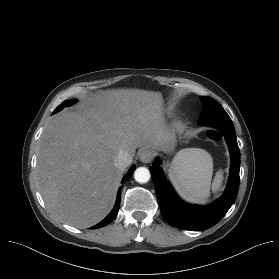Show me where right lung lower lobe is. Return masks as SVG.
<instances>
[{
  "mask_svg": "<svg viewBox=\"0 0 279 279\" xmlns=\"http://www.w3.org/2000/svg\"><path fill=\"white\" fill-rule=\"evenodd\" d=\"M134 170H135V167L133 166L128 171V173L124 176V178L122 179L121 183L126 182L131 177V175L133 174ZM120 189L118 190L116 203H115V206H114L113 210L111 211V213L105 219H103L100 223H98L97 225L93 226L92 229L101 228L103 226H106L107 224H109L117 216L118 210H119L120 198H121V191H120Z\"/></svg>",
  "mask_w": 279,
  "mask_h": 279,
  "instance_id": "98d812e1",
  "label": "right lung lower lobe"
}]
</instances>
